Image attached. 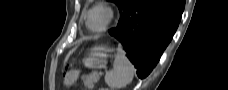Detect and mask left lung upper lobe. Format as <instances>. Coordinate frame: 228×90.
Returning <instances> with one entry per match:
<instances>
[{
    "mask_svg": "<svg viewBox=\"0 0 228 90\" xmlns=\"http://www.w3.org/2000/svg\"><path fill=\"white\" fill-rule=\"evenodd\" d=\"M111 1L117 4V6L119 7V10H120V13L122 12L124 7L129 2V0H111Z\"/></svg>",
    "mask_w": 228,
    "mask_h": 90,
    "instance_id": "1",
    "label": "left lung upper lobe"
}]
</instances>
